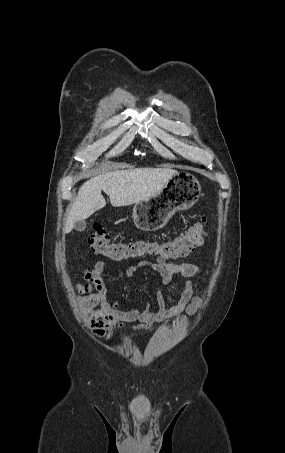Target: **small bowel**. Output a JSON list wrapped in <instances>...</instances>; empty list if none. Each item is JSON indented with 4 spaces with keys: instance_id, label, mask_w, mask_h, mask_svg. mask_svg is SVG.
<instances>
[{
    "instance_id": "c3829d8e",
    "label": "small bowel",
    "mask_w": 285,
    "mask_h": 453,
    "mask_svg": "<svg viewBox=\"0 0 285 453\" xmlns=\"http://www.w3.org/2000/svg\"><path fill=\"white\" fill-rule=\"evenodd\" d=\"M143 267H149L157 272L164 285L171 283L176 276L187 279L179 302L175 306L167 308L164 296L158 288H155L156 310L153 311L147 303L141 308L121 310L117 300L110 302L107 299L108 289L103 278L104 264L102 261H98L91 270L83 271L86 283H78L75 286L79 293L76 303L80 315L95 336L107 339L108 332L124 328L132 332L146 331L156 323L168 324L169 318L172 316L176 317V322H181L196 313L200 298L196 281L190 279L201 274L197 265L179 264L175 259H158L155 263L140 262L128 268L127 278H131L139 268ZM126 322H138V324L127 327Z\"/></svg>"
}]
</instances>
